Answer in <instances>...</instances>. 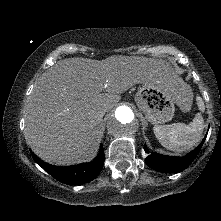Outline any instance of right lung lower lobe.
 Wrapping results in <instances>:
<instances>
[{
    "label": "right lung lower lobe",
    "mask_w": 221,
    "mask_h": 221,
    "mask_svg": "<svg viewBox=\"0 0 221 221\" xmlns=\"http://www.w3.org/2000/svg\"><path fill=\"white\" fill-rule=\"evenodd\" d=\"M33 159L51 176L58 181L68 185H79L87 183L100 173L104 163L103 146L100 147L98 156L89 163H82L68 167H58L50 165L39 159L33 152H31Z\"/></svg>",
    "instance_id": "obj_1"
}]
</instances>
